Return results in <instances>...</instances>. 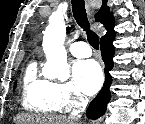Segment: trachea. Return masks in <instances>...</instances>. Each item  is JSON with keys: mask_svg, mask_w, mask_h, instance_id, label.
Returning a JSON list of instances; mask_svg holds the SVG:
<instances>
[{"mask_svg": "<svg viewBox=\"0 0 145 124\" xmlns=\"http://www.w3.org/2000/svg\"><path fill=\"white\" fill-rule=\"evenodd\" d=\"M72 12L78 25L87 33L89 44L94 49H99V37L90 30V24L87 18L84 0H72Z\"/></svg>", "mask_w": 145, "mask_h": 124, "instance_id": "1", "label": "trachea"}]
</instances>
